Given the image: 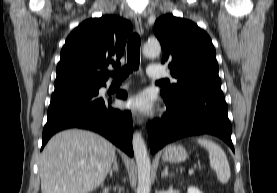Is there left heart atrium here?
Returning a JSON list of instances; mask_svg holds the SVG:
<instances>
[{
    "label": "left heart atrium",
    "mask_w": 277,
    "mask_h": 193,
    "mask_svg": "<svg viewBox=\"0 0 277 193\" xmlns=\"http://www.w3.org/2000/svg\"><path fill=\"white\" fill-rule=\"evenodd\" d=\"M127 107L140 113H148L152 109V98L149 93L141 92L127 102Z\"/></svg>",
    "instance_id": "39dd6f15"
}]
</instances>
